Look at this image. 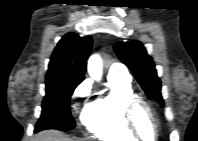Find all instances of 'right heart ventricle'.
Returning a JSON list of instances; mask_svg holds the SVG:
<instances>
[{"instance_id": "1", "label": "right heart ventricle", "mask_w": 198, "mask_h": 141, "mask_svg": "<svg viewBox=\"0 0 198 141\" xmlns=\"http://www.w3.org/2000/svg\"><path fill=\"white\" fill-rule=\"evenodd\" d=\"M110 92L95 99L83 112L82 123L96 138L104 141H135L126 127L122 101L133 95L130 82L108 80Z\"/></svg>"}]
</instances>
